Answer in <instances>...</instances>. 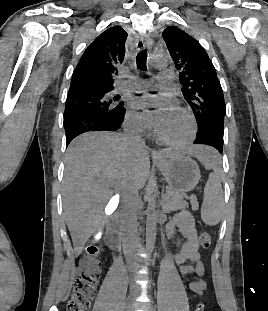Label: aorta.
<instances>
[{
    "mask_svg": "<svg viewBox=\"0 0 268 311\" xmlns=\"http://www.w3.org/2000/svg\"><path fill=\"white\" fill-rule=\"evenodd\" d=\"M150 65L156 68H163L166 65V61L163 56L153 54L150 57ZM148 204L146 209V247L152 252L156 240V225L158 219V211L156 207V192H157V182L156 178L153 177L148 184Z\"/></svg>",
    "mask_w": 268,
    "mask_h": 311,
    "instance_id": "aorta-1",
    "label": "aorta"
}]
</instances>
